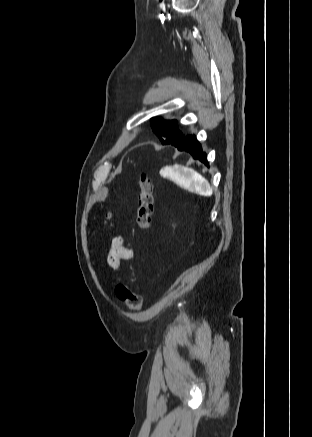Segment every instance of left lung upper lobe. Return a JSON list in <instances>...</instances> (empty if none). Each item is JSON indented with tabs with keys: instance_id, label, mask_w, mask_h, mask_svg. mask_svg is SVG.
Returning <instances> with one entry per match:
<instances>
[{
	"instance_id": "5c2ea615",
	"label": "left lung upper lobe",
	"mask_w": 312,
	"mask_h": 437,
	"mask_svg": "<svg viewBox=\"0 0 312 437\" xmlns=\"http://www.w3.org/2000/svg\"><path fill=\"white\" fill-rule=\"evenodd\" d=\"M151 126L154 133L159 137L162 144L170 143L183 139V135L178 129V123L176 120L163 121L161 119L152 118Z\"/></svg>"
}]
</instances>
